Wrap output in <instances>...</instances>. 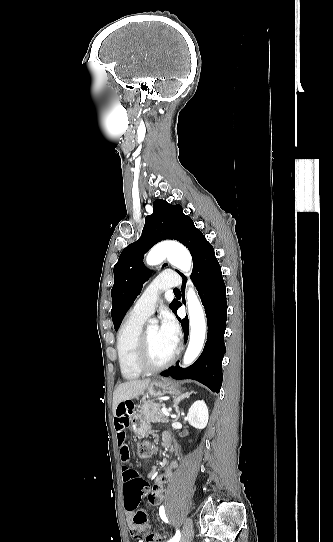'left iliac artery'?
Segmentation results:
<instances>
[{"label":"left iliac artery","mask_w":333,"mask_h":542,"mask_svg":"<svg viewBox=\"0 0 333 542\" xmlns=\"http://www.w3.org/2000/svg\"><path fill=\"white\" fill-rule=\"evenodd\" d=\"M159 514H160L161 519L167 523L168 519H167V517L165 515L164 506L160 507ZM179 540H180V532L177 531L175 536L172 539H170L168 542H179Z\"/></svg>","instance_id":"left-iliac-artery-1"}]
</instances>
